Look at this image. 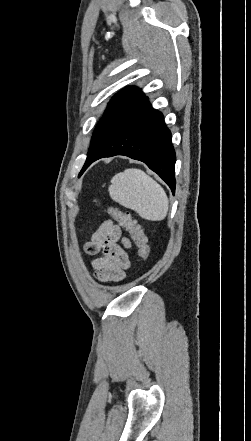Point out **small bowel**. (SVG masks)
I'll return each instance as SVG.
<instances>
[{
  "mask_svg": "<svg viewBox=\"0 0 251 441\" xmlns=\"http://www.w3.org/2000/svg\"><path fill=\"white\" fill-rule=\"evenodd\" d=\"M130 248L131 243L129 239L123 237L119 226L111 221L102 223L84 246L88 255L102 252L100 257L91 262L95 278L105 283L123 280L130 267V257L127 252Z\"/></svg>",
  "mask_w": 251,
  "mask_h": 441,
  "instance_id": "c3829d8e",
  "label": "small bowel"
}]
</instances>
